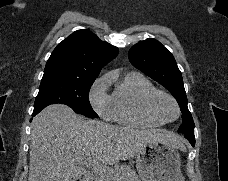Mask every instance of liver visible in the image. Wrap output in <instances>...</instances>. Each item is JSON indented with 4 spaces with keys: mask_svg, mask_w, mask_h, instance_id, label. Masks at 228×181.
Here are the masks:
<instances>
[{
    "mask_svg": "<svg viewBox=\"0 0 228 181\" xmlns=\"http://www.w3.org/2000/svg\"><path fill=\"white\" fill-rule=\"evenodd\" d=\"M152 141L186 151L183 139L174 133L85 121L67 105H49L31 123L28 181H79L89 159L117 165Z\"/></svg>",
    "mask_w": 228,
    "mask_h": 181,
    "instance_id": "6515ba94",
    "label": "liver"
}]
</instances>
